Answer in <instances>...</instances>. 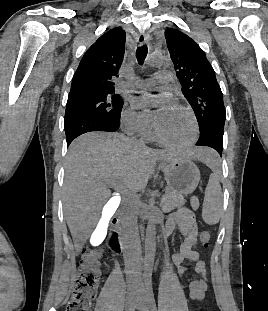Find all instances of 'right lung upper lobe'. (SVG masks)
Instances as JSON below:
<instances>
[{"instance_id":"cb5924a9","label":"right lung upper lobe","mask_w":268,"mask_h":311,"mask_svg":"<svg viewBox=\"0 0 268 311\" xmlns=\"http://www.w3.org/2000/svg\"><path fill=\"white\" fill-rule=\"evenodd\" d=\"M125 31L113 28L104 33L84 54L73 76L71 90L92 89L115 91L125 52Z\"/></svg>"}]
</instances>
